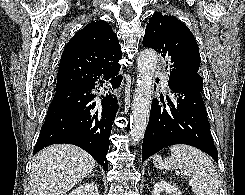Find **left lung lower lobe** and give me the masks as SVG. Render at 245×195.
<instances>
[{
  "instance_id": "obj_1",
  "label": "left lung lower lobe",
  "mask_w": 245,
  "mask_h": 195,
  "mask_svg": "<svg viewBox=\"0 0 245 195\" xmlns=\"http://www.w3.org/2000/svg\"><path fill=\"white\" fill-rule=\"evenodd\" d=\"M177 102L153 99L142 145V161L174 144L194 146L218 162L201 91L169 83Z\"/></svg>"
}]
</instances>
